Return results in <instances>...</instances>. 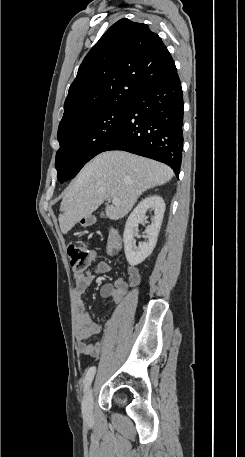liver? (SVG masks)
I'll return each mask as SVG.
<instances>
[{
  "instance_id": "liver-1",
  "label": "liver",
  "mask_w": 245,
  "mask_h": 457,
  "mask_svg": "<svg viewBox=\"0 0 245 457\" xmlns=\"http://www.w3.org/2000/svg\"><path fill=\"white\" fill-rule=\"evenodd\" d=\"M170 166L137 156L125 150H106L81 168L66 188L60 204L59 224L66 235L81 218L90 216L106 198H119V204H108L106 216L123 218L138 196L172 178Z\"/></svg>"
}]
</instances>
